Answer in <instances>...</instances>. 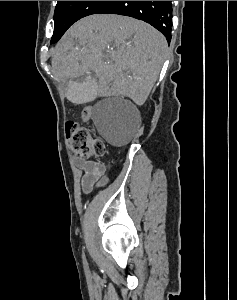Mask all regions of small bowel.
<instances>
[{"instance_id": "obj_1", "label": "small bowel", "mask_w": 237, "mask_h": 300, "mask_svg": "<svg viewBox=\"0 0 237 300\" xmlns=\"http://www.w3.org/2000/svg\"><path fill=\"white\" fill-rule=\"evenodd\" d=\"M92 108L87 106L82 111V119L88 121L91 118ZM75 164L81 170V187L84 193H90L94 188L105 185L108 182L106 167L95 161L83 158H75Z\"/></svg>"}]
</instances>
